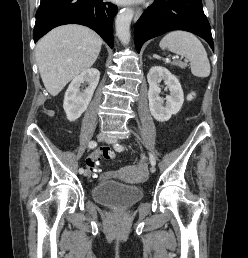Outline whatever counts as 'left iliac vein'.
Wrapping results in <instances>:
<instances>
[{
    "label": "left iliac vein",
    "mask_w": 248,
    "mask_h": 258,
    "mask_svg": "<svg viewBox=\"0 0 248 258\" xmlns=\"http://www.w3.org/2000/svg\"><path fill=\"white\" fill-rule=\"evenodd\" d=\"M105 141H106L107 143H109V144H115L117 140H116V138L113 137V136H108ZM150 171H151V173H154V172H155V167L152 166V167L150 168Z\"/></svg>",
    "instance_id": "left-iliac-vein-1"
}]
</instances>
